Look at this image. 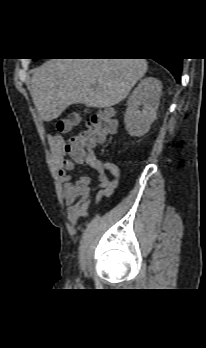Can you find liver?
Returning <instances> with one entry per match:
<instances>
[{
	"label": "liver",
	"mask_w": 206,
	"mask_h": 348,
	"mask_svg": "<svg viewBox=\"0 0 206 348\" xmlns=\"http://www.w3.org/2000/svg\"><path fill=\"white\" fill-rule=\"evenodd\" d=\"M147 69L146 59H50L34 70L31 94L42 119L51 121L71 104H118Z\"/></svg>",
	"instance_id": "6515ba94"
}]
</instances>
